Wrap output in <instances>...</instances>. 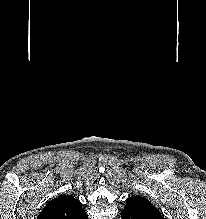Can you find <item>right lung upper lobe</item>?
<instances>
[{
    "label": "right lung upper lobe",
    "mask_w": 206,
    "mask_h": 219,
    "mask_svg": "<svg viewBox=\"0 0 206 219\" xmlns=\"http://www.w3.org/2000/svg\"><path fill=\"white\" fill-rule=\"evenodd\" d=\"M37 219H88L81 202L72 195H61L52 199Z\"/></svg>",
    "instance_id": "right-lung-upper-lobe-1"
}]
</instances>
